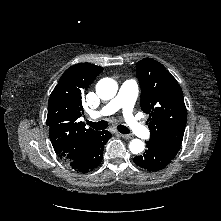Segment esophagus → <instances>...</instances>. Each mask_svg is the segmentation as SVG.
<instances>
[{
    "label": "esophagus",
    "instance_id": "1",
    "mask_svg": "<svg viewBox=\"0 0 221 221\" xmlns=\"http://www.w3.org/2000/svg\"><path fill=\"white\" fill-rule=\"evenodd\" d=\"M117 135L121 136L124 139H132V136L129 134H122V133H117Z\"/></svg>",
    "mask_w": 221,
    "mask_h": 221
}]
</instances>
